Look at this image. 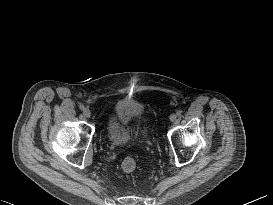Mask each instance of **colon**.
Returning a JSON list of instances; mask_svg holds the SVG:
<instances>
[{
    "label": "colon",
    "instance_id": "obj_1",
    "mask_svg": "<svg viewBox=\"0 0 273 205\" xmlns=\"http://www.w3.org/2000/svg\"><path fill=\"white\" fill-rule=\"evenodd\" d=\"M135 167H136V162L132 157H126L121 164V168L123 172L125 173L133 172Z\"/></svg>",
    "mask_w": 273,
    "mask_h": 205
}]
</instances>
